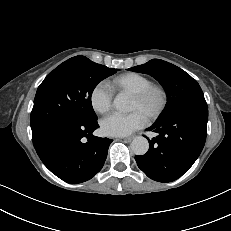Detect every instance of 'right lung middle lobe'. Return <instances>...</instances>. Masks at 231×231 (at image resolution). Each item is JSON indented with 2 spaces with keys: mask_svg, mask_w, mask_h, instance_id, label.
Masks as SVG:
<instances>
[{
  "mask_svg": "<svg viewBox=\"0 0 231 231\" xmlns=\"http://www.w3.org/2000/svg\"><path fill=\"white\" fill-rule=\"evenodd\" d=\"M116 71L84 56L60 64L37 89L30 118L33 137H42L63 120H97L91 104L92 92L100 81Z\"/></svg>",
  "mask_w": 231,
  "mask_h": 231,
  "instance_id": "right-lung-middle-lobe-1",
  "label": "right lung middle lobe"
}]
</instances>
